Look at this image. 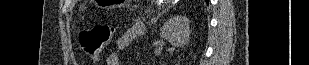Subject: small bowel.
Segmentation results:
<instances>
[{"label": "small bowel", "mask_w": 309, "mask_h": 65, "mask_svg": "<svg viewBox=\"0 0 309 65\" xmlns=\"http://www.w3.org/2000/svg\"><path fill=\"white\" fill-rule=\"evenodd\" d=\"M144 33V24L137 20L133 26L123 33L117 41V47L124 49L138 36ZM107 65H122L121 58L118 54L112 53L108 56Z\"/></svg>", "instance_id": "obj_1"}]
</instances>
